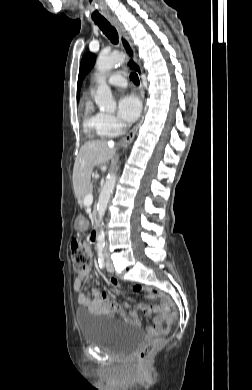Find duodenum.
<instances>
[{"label":"duodenum","instance_id":"1","mask_svg":"<svg viewBox=\"0 0 252 390\" xmlns=\"http://www.w3.org/2000/svg\"><path fill=\"white\" fill-rule=\"evenodd\" d=\"M98 232L97 230H93L91 233V241L96 242L97 241Z\"/></svg>","mask_w":252,"mask_h":390}]
</instances>
